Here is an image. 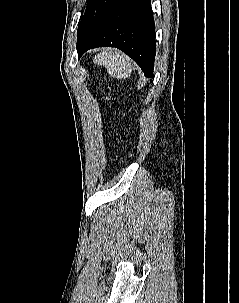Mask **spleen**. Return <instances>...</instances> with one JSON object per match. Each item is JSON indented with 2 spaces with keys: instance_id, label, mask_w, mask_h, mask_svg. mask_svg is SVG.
Segmentation results:
<instances>
[{
  "instance_id": "spleen-1",
  "label": "spleen",
  "mask_w": 239,
  "mask_h": 303,
  "mask_svg": "<svg viewBox=\"0 0 239 303\" xmlns=\"http://www.w3.org/2000/svg\"><path fill=\"white\" fill-rule=\"evenodd\" d=\"M93 62L104 66L110 76L119 79L129 77L133 70L130 59L117 49H103L93 58Z\"/></svg>"
}]
</instances>
